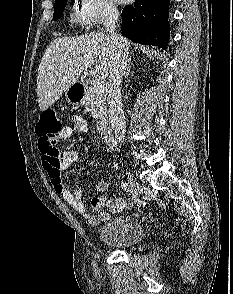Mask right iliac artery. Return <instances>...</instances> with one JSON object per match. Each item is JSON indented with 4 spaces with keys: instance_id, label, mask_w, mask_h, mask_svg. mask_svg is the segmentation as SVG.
<instances>
[{
    "instance_id": "obj_1",
    "label": "right iliac artery",
    "mask_w": 233,
    "mask_h": 294,
    "mask_svg": "<svg viewBox=\"0 0 233 294\" xmlns=\"http://www.w3.org/2000/svg\"><path fill=\"white\" fill-rule=\"evenodd\" d=\"M121 187H122V189H124L127 192L131 190L130 186L126 182H122Z\"/></svg>"
}]
</instances>
